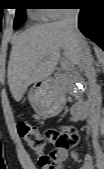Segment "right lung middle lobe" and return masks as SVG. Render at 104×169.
I'll use <instances>...</instances> for the list:
<instances>
[{"mask_svg": "<svg viewBox=\"0 0 104 169\" xmlns=\"http://www.w3.org/2000/svg\"><path fill=\"white\" fill-rule=\"evenodd\" d=\"M24 20H25V8L19 7L17 8V12H16V17L14 21V29H17L18 27H20V25L23 24Z\"/></svg>", "mask_w": 104, "mask_h": 169, "instance_id": "obj_1", "label": "right lung middle lobe"}]
</instances>
